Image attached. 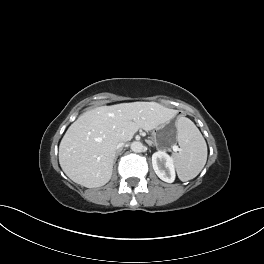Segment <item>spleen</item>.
I'll use <instances>...</instances> for the list:
<instances>
[{
	"instance_id": "obj_1",
	"label": "spleen",
	"mask_w": 264,
	"mask_h": 264,
	"mask_svg": "<svg viewBox=\"0 0 264 264\" xmlns=\"http://www.w3.org/2000/svg\"><path fill=\"white\" fill-rule=\"evenodd\" d=\"M180 151L173 154L177 175L181 181L195 178L207 161V144L201 132L189 118L180 117L176 124Z\"/></svg>"
}]
</instances>
